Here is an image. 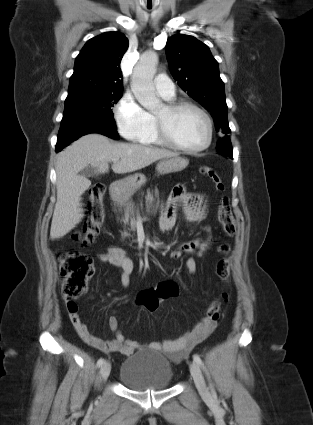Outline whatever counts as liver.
Instances as JSON below:
<instances>
[{
  "label": "liver",
  "mask_w": 313,
  "mask_h": 425,
  "mask_svg": "<svg viewBox=\"0 0 313 425\" xmlns=\"http://www.w3.org/2000/svg\"><path fill=\"white\" fill-rule=\"evenodd\" d=\"M178 156L166 149L130 143H112L101 134H87L57 155V202L55 204L50 238L59 239L69 233L84 217L81 196L90 187L91 181L78 173L91 165L98 173L112 170L118 174L130 173L145 168L160 159Z\"/></svg>",
  "instance_id": "1"
}]
</instances>
